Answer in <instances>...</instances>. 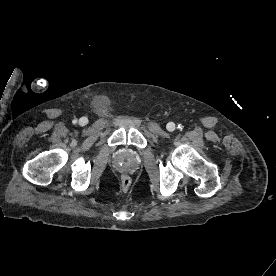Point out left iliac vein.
Wrapping results in <instances>:
<instances>
[{
  "label": "left iliac vein",
  "mask_w": 276,
  "mask_h": 276,
  "mask_svg": "<svg viewBox=\"0 0 276 276\" xmlns=\"http://www.w3.org/2000/svg\"><path fill=\"white\" fill-rule=\"evenodd\" d=\"M167 129L169 131H174L175 130V124L173 122H170L167 124Z\"/></svg>",
  "instance_id": "left-iliac-vein-1"
}]
</instances>
